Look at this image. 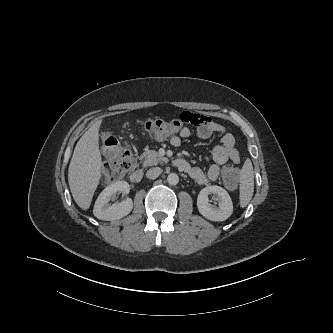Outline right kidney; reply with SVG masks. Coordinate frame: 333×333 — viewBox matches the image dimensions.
<instances>
[{
	"mask_svg": "<svg viewBox=\"0 0 333 333\" xmlns=\"http://www.w3.org/2000/svg\"><path fill=\"white\" fill-rule=\"evenodd\" d=\"M129 191L130 186L126 181H117L107 186L95 202L93 209L94 216L101 220L111 221L128 215L133 208V202L130 198L121 202H115L111 206L109 202L116 193L128 194Z\"/></svg>",
	"mask_w": 333,
	"mask_h": 333,
	"instance_id": "obj_1",
	"label": "right kidney"
}]
</instances>
